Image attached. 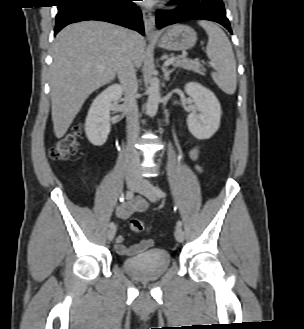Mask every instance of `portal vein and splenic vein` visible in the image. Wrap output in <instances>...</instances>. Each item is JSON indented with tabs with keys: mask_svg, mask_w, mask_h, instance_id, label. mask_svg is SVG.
Here are the masks:
<instances>
[{
	"mask_svg": "<svg viewBox=\"0 0 304 329\" xmlns=\"http://www.w3.org/2000/svg\"><path fill=\"white\" fill-rule=\"evenodd\" d=\"M173 59L172 58H168V59H166V61H165V65H170V64H172L173 63ZM101 71V70H100Z\"/></svg>",
	"mask_w": 304,
	"mask_h": 329,
	"instance_id": "1",
	"label": "portal vein and splenic vein"
}]
</instances>
